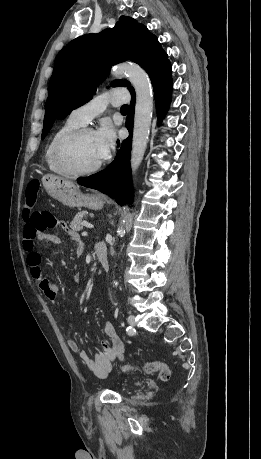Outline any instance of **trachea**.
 Instances as JSON below:
<instances>
[{
	"instance_id": "obj_1",
	"label": "trachea",
	"mask_w": 261,
	"mask_h": 459,
	"mask_svg": "<svg viewBox=\"0 0 261 459\" xmlns=\"http://www.w3.org/2000/svg\"><path fill=\"white\" fill-rule=\"evenodd\" d=\"M121 111H128V106L127 105H123L121 107Z\"/></svg>"
}]
</instances>
